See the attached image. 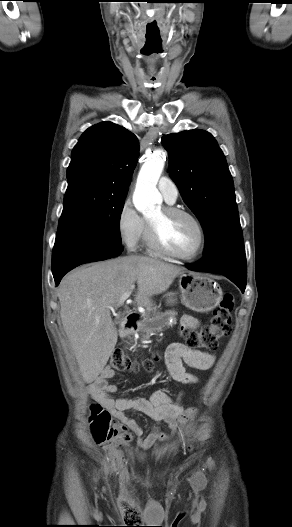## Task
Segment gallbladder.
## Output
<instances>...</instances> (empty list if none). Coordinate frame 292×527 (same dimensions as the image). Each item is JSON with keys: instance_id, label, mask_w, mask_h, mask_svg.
I'll return each mask as SVG.
<instances>
[{"instance_id": "obj_1", "label": "gallbladder", "mask_w": 292, "mask_h": 527, "mask_svg": "<svg viewBox=\"0 0 292 527\" xmlns=\"http://www.w3.org/2000/svg\"><path fill=\"white\" fill-rule=\"evenodd\" d=\"M121 319L119 317L116 318L115 322L120 323Z\"/></svg>"}]
</instances>
